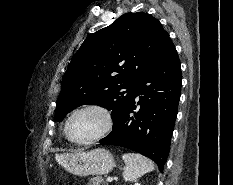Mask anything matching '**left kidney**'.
Wrapping results in <instances>:
<instances>
[{"label": "left kidney", "instance_id": "5707ae66", "mask_svg": "<svg viewBox=\"0 0 233 185\" xmlns=\"http://www.w3.org/2000/svg\"><path fill=\"white\" fill-rule=\"evenodd\" d=\"M134 185H141V184H139V183H135Z\"/></svg>", "mask_w": 233, "mask_h": 185}]
</instances>
